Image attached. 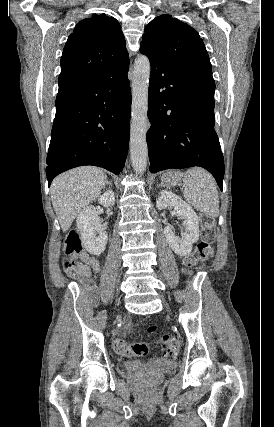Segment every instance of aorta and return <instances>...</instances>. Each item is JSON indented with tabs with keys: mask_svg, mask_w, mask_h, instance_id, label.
Wrapping results in <instances>:
<instances>
[{
	"mask_svg": "<svg viewBox=\"0 0 274 427\" xmlns=\"http://www.w3.org/2000/svg\"><path fill=\"white\" fill-rule=\"evenodd\" d=\"M149 78V59L145 55H140L133 66L130 123V158L132 166L138 174L146 170L148 160L146 134L150 128L147 116Z\"/></svg>",
	"mask_w": 274,
	"mask_h": 427,
	"instance_id": "aorta-1",
	"label": "aorta"
}]
</instances>
